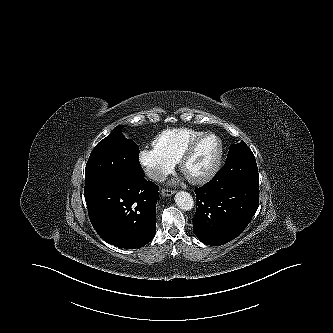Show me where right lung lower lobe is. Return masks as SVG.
Listing matches in <instances>:
<instances>
[{"label":"right lung lower lobe","instance_id":"1","mask_svg":"<svg viewBox=\"0 0 333 333\" xmlns=\"http://www.w3.org/2000/svg\"><path fill=\"white\" fill-rule=\"evenodd\" d=\"M158 191L142 175L85 192L94 229L104 241L119 248L145 246L156 232Z\"/></svg>","mask_w":333,"mask_h":333}]
</instances>
